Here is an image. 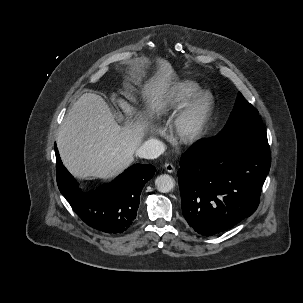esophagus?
<instances>
[{
  "instance_id": "34e87169",
  "label": "esophagus",
  "mask_w": 303,
  "mask_h": 303,
  "mask_svg": "<svg viewBox=\"0 0 303 303\" xmlns=\"http://www.w3.org/2000/svg\"><path fill=\"white\" fill-rule=\"evenodd\" d=\"M164 168H165V170H166L167 172H169V173H173V172L175 171V167H174V165L171 164V163H166V164L164 165Z\"/></svg>"
}]
</instances>
